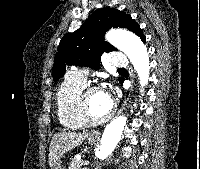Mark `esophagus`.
Returning <instances> with one entry per match:
<instances>
[{"label":"esophagus","instance_id":"1","mask_svg":"<svg viewBox=\"0 0 200 169\" xmlns=\"http://www.w3.org/2000/svg\"><path fill=\"white\" fill-rule=\"evenodd\" d=\"M131 77H132V81H133V71L132 70H131ZM132 88H133V85L131 86V88L129 90L126 91L122 106H121L120 110L118 111V115L125 109L127 102L129 100V97L131 95ZM90 136L99 137L100 132L99 131H93Z\"/></svg>","mask_w":200,"mask_h":169}]
</instances>
